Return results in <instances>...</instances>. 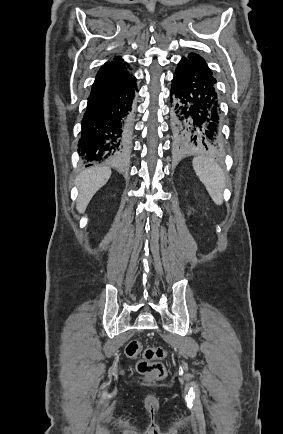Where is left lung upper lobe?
<instances>
[{"label": "left lung upper lobe", "mask_w": 283, "mask_h": 434, "mask_svg": "<svg viewBox=\"0 0 283 434\" xmlns=\"http://www.w3.org/2000/svg\"><path fill=\"white\" fill-rule=\"evenodd\" d=\"M187 59H189L190 61H192L194 64L205 68L208 71H211L210 68L208 67L207 63L205 62V60L198 54L196 53H190L187 57Z\"/></svg>", "instance_id": "obj_1"}]
</instances>
